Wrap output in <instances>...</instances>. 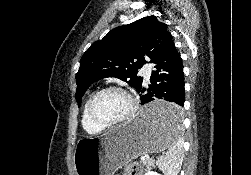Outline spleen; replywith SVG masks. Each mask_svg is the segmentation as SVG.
Wrapping results in <instances>:
<instances>
[{"instance_id": "1", "label": "spleen", "mask_w": 251, "mask_h": 175, "mask_svg": "<svg viewBox=\"0 0 251 175\" xmlns=\"http://www.w3.org/2000/svg\"><path fill=\"white\" fill-rule=\"evenodd\" d=\"M181 107H174L165 119L166 131L171 145L165 155H161L156 163L164 175H178L183 161L182 137L180 135Z\"/></svg>"}]
</instances>
